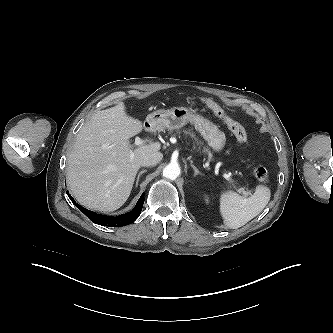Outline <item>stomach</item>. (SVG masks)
Wrapping results in <instances>:
<instances>
[{
  "label": "stomach",
  "instance_id": "0dacf381",
  "mask_svg": "<svg viewBox=\"0 0 333 333\" xmlns=\"http://www.w3.org/2000/svg\"><path fill=\"white\" fill-rule=\"evenodd\" d=\"M146 122L154 130H175L191 123L214 151H222L226 144L225 133L216 124L187 107L154 111L147 116Z\"/></svg>",
  "mask_w": 333,
  "mask_h": 333
}]
</instances>
